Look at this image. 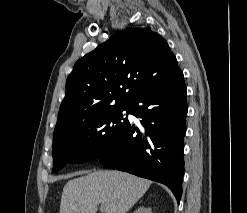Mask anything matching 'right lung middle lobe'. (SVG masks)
Returning <instances> with one entry per match:
<instances>
[{
  "mask_svg": "<svg viewBox=\"0 0 247 213\" xmlns=\"http://www.w3.org/2000/svg\"><path fill=\"white\" fill-rule=\"evenodd\" d=\"M123 111L129 104L106 110L90 121L53 137V172L68 163H84L111 149L121 129L128 123Z\"/></svg>",
  "mask_w": 247,
  "mask_h": 213,
  "instance_id": "right-lung-middle-lobe-1",
  "label": "right lung middle lobe"
}]
</instances>
